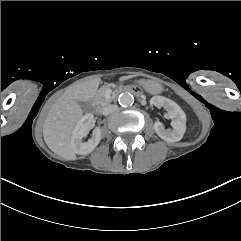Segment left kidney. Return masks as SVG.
Wrapping results in <instances>:
<instances>
[{
	"label": "left kidney",
	"instance_id": "left-kidney-1",
	"mask_svg": "<svg viewBox=\"0 0 241 241\" xmlns=\"http://www.w3.org/2000/svg\"><path fill=\"white\" fill-rule=\"evenodd\" d=\"M150 103L155 107H163L166 110V117L171 120L173 128L171 132L169 129H164L160 122H156L154 131L157 136L168 143L179 142L183 138L186 129L184 112L175 102L165 97L155 96Z\"/></svg>",
	"mask_w": 241,
	"mask_h": 241
}]
</instances>
